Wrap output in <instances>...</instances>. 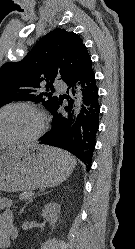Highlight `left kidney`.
<instances>
[{"mask_svg": "<svg viewBox=\"0 0 135 249\" xmlns=\"http://www.w3.org/2000/svg\"><path fill=\"white\" fill-rule=\"evenodd\" d=\"M60 212V205L57 203H49L45 205L41 216L46 219L53 227L58 220V213Z\"/></svg>", "mask_w": 135, "mask_h": 249, "instance_id": "left-kidney-1", "label": "left kidney"}]
</instances>
